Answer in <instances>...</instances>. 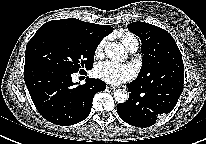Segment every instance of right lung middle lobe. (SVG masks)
<instances>
[{"label":"right lung middle lobe","instance_id":"obj_1","mask_svg":"<svg viewBox=\"0 0 206 144\" xmlns=\"http://www.w3.org/2000/svg\"><path fill=\"white\" fill-rule=\"evenodd\" d=\"M99 43L68 30L41 26L27 44L24 69L50 67L69 73L91 69Z\"/></svg>","mask_w":206,"mask_h":144}]
</instances>
